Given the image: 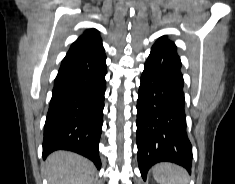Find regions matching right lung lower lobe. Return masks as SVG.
I'll return each instance as SVG.
<instances>
[{"instance_id":"98d812e1","label":"right lung lower lobe","mask_w":235,"mask_h":184,"mask_svg":"<svg viewBox=\"0 0 235 184\" xmlns=\"http://www.w3.org/2000/svg\"><path fill=\"white\" fill-rule=\"evenodd\" d=\"M106 55H66L54 81L44 126L43 158L56 150L81 154L100 169Z\"/></svg>"}]
</instances>
